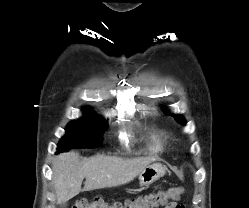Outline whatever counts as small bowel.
<instances>
[{
	"label": "small bowel",
	"instance_id": "1",
	"mask_svg": "<svg viewBox=\"0 0 249 208\" xmlns=\"http://www.w3.org/2000/svg\"><path fill=\"white\" fill-rule=\"evenodd\" d=\"M180 205L177 202H170L167 205H165V208H179Z\"/></svg>",
	"mask_w": 249,
	"mask_h": 208
}]
</instances>
